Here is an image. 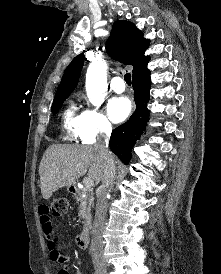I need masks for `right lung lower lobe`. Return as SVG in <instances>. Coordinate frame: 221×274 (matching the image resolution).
Wrapping results in <instances>:
<instances>
[{
    "mask_svg": "<svg viewBox=\"0 0 221 274\" xmlns=\"http://www.w3.org/2000/svg\"><path fill=\"white\" fill-rule=\"evenodd\" d=\"M136 110L129 120L113 130L110 138L111 150L127 164L131 159V148L140 139L149 121L147 103L151 87L150 71L139 74L132 79Z\"/></svg>",
    "mask_w": 221,
    "mask_h": 274,
    "instance_id": "obj_1",
    "label": "right lung lower lobe"
}]
</instances>
